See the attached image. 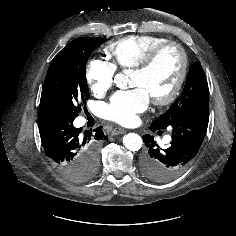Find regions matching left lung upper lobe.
Returning a JSON list of instances; mask_svg holds the SVG:
<instances>
[{
	"mask_svg": "<svg viewBox=\"0 0 236 236\" xmlns=\"http://www.w3.org/2000/svg\"><path fill=\"white\" fill-rule=\"evenodd\" d=\"M204 102H209L208 83L201 64L197 62L189 70L181 96L163 115L151 124L150 128L165 129L189 108Z\"/></svg>",
	"mask_w": 236,
	"mask_h": 236,
	"instance_id": "1",
	"label": "left lung upper lobe"
}]
</instances>
